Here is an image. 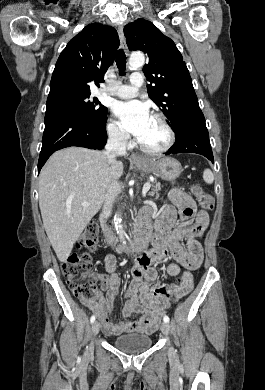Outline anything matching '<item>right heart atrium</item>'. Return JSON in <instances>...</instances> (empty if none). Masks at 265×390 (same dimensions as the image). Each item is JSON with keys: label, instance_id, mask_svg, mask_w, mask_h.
<instances>
[{"label": "right heart atrium", "instance_id": "obj_1", "mask_svg": "<svg viewBox=\"0 0 265 390\" xmlns=\"http://www.w3.org/2000/svg\"><path fill=\"white\" fill-rule=\"evenodd\" d=\"M107 133L112 142L120 146H127L129 144L128 134L121 128L119 123L110 119L107 124Z\"/></svg>", "mask_w": 265, "mask_h": 390}]
</instances>
